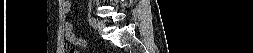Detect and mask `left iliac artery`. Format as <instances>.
<instances>
[{"label": "left iliac artery", "mask_w": 253, "mask_h": 53, "mask_svg": "<svg viewBox=\"0 0 253 53\" xmlns=\"http://www.w3.org/2000/svg\"><path fill=\"white\" fill-rule=\"evenodd\" d=\"M90 22H91V25H92L94 28L97 27V21H96V19H95L94 17H91Z\"/></svg>", "instance_id": "left-iliac-artery-1"}]
</instances>
